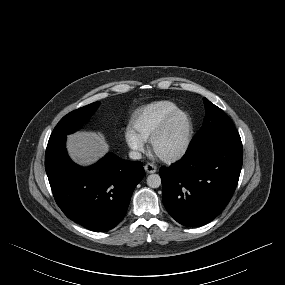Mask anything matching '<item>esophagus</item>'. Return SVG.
<instances>
[{
    "mask_svg": "<svg viewBox=\"0 0 285 285\" xmlns=\"http://www.w3.org/2000/svg\"><path fill=\"white\" fill-rule=\"evenodd\" d=\"M144 170L148 173V174H152L155 173L157 171V167L151 163H147L144 166Z\"/></svg>",
    "mask_w": 285,
    "mask_h": 285,
    "instance_id": "obj_1",
    "label": "esophagus"
}]
</instances>
